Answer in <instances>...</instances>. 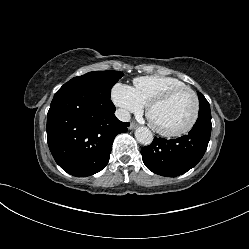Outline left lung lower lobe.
Instances as JSON below:
<instances>
[{"mask_svg": "<svg viewBox=\"0 0 249 249\" xmlns=\"http://www.w3.org/2000/svg\"><path fill=\"white\" fill-rule=\"evenodd\" d=\"M211 115L199 116L192 130L177 139L154 138L141 149L146 167L161 176L175 177L193 168L203 157L210 140Z\"/></svg>", "mask_w": 249, "mask_h": 249, "instance_id": "0a47b994", "label": "left lung lower lobe"}]
</instances>
